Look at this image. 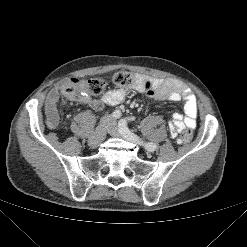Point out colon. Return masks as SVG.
Returning a JSON list of instances; mask_svg holds the SVG:
<instances>
[{
	"mask_svg": "<svg viewBox=\"0 0 247 247\" xmlns=\"http://www.w3.org/2000/svg\"><path fill=\"white\" fill-rule=\"evenodd\" d=\"M112 81L120 87H132L138 83V76L130 72H117L113 75ZM105 86V80L92 78L78 85H71L64 88L63 93L68 99L77 100L85 92L98 95L104 90ZM191 140L192 132L190 129H186L182 131L177 141L179 144H187Z\"/></svg>",
	"mask_w": 247,
	"mask_h": 247,
	"instance_id": "5ec220e1",
	"label": "colon"
}]
</instances>
